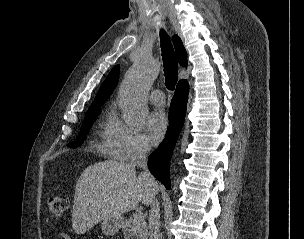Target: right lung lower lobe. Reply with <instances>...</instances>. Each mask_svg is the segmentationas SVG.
Listing matches in <instances>:
<instances>
[{
  "instance_id": "obj_1",
  "label": "right lung lower lobe",
  "mask_w": 304,
  "mask_h": 239,
  "mask_svg": "<svg viewBox=\"0 0 304 239\" xmlns=\"http://www.w3.org/2000/svg\"><path fill=\"white\" fill-rule=\"evenodd\" d=\"M189 86L186 80L178 82L175 94L172 98L169 111V128L166 138L148 159V168L152 175L170 189L169 164L179 133L182 129Z\"/></svg>"
}]
</instances>
